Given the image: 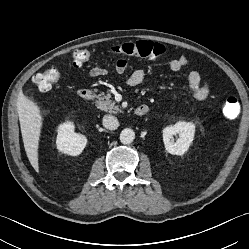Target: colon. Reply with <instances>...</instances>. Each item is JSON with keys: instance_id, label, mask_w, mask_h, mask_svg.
Masks as SVG:
<instances>
[{"instance_id": "obj_1", "label": "colon", "mask_w": 249, "mask_h": 249, "mask_svg": "<svg viewBox=\"0 0 249 249\" xmlns=\"http://www.w3.org/2000/svg\"><path fill=\"white\" fill-rule=\"evenodd\" d=\"M110 52L115 55L126 57L145 58L149 60L158 59L164 52V47L148 40H139L128 42L111 48ZM93 55L85 49L76 50L72 59L75 66H81L92 59ZM62 75L59 69L51 67L43 72L36 74L33 82L36 87L43 92L51 90L61 79ZM240 105L237 99L228 98L222 106V112L228 119H232L239 111Z\"/></svg>"}]
</instances>
